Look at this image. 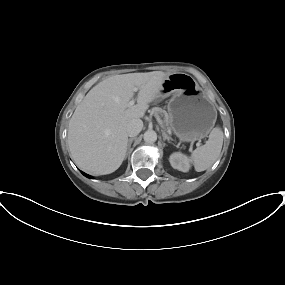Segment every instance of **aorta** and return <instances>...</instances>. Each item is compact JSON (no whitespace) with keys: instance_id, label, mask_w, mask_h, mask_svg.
I'll list each match as a JSON object with an SVG mask.
<instances>
[{"instance_id":"obj_1","label":"aorta","mask_w":285,"mask_h":285,"mask_svg":"<svg viewBox=\"0 0 285 285\" xmlns=\"http://www.w3.org/2000/svg\"><path fill=\"white\" fill-rule=\"evenodd\" d=\"M157 140V134L154 130H147L144 133V141L146 143H154Z\"/></svg>"}]
</instances>
